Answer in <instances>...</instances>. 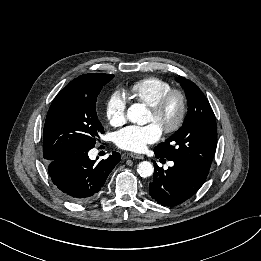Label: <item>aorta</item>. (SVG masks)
Returning <instances> with one entry per match:
<instances>
[{
	"label": "aorta",
	"mask_w": 261,
	"mask_h": 261,
	"mask_svg": "<svg viewBox=\"0 0 261 261\" xmlns=\"http://www.w3.org/2000/svg\"><path fill=\"white\" fill-rule=\"evenodd\" d=\"M146 113L147 110L143 104L135 103L128 108L127 118L132 123L144 125L147 122L145 119ZM137 172L143 178L150 177L154 172V166L148 161L140 162L138 164Z\"/></svg>",
	"instance_id": "obj_1"
}]
</instances>
